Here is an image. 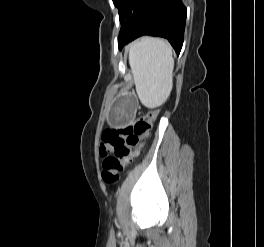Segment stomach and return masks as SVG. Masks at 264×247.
<instances>
[{
	"label": "stomach",
	"instance_id": "obj_1",
	"mask_svg": "<svg viewBox=\"0 0 264 247\" xmlns=\"http://www.w3.org/2000/svg\"><path fill=\"white\" fill-rule=\"evenodd\" d=\"M119 98L109 116L110 123L116 126L131 123V118H136V94H120Z\"/></svg>",
	"mask_w": 264,
	"mask_h": 247
}]
</instances>
